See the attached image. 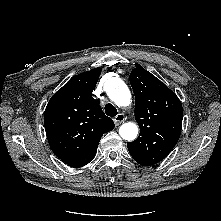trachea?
I'll return each instance as SVG.
<instances>
[{
	"instance_id": "3493384b",
	"label": "trachea",
	"mask_w": 221,
	"mask_h": 221,
	"mask_svg": "<svg viewBox=\"0 0 221 221\" xmlns=\"http://www.w3.org/2000/svg\"><path fill=\"white\" fill-rule=\"evenodd\" d=\"M105 113L108 116H116L117 115V109L112 104H107L105 106Z\"/></svg>"
}]
</instances>
